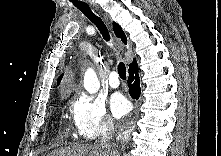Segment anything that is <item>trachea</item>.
<instances>
[{"mask_svg":"<svg viewBox=\"0 0 221 156\" xmlns=\"http://www.w3.org/2000/svg\"><path fill=\"white\" fill-rule=\"evenodd\" d=\"M74 5L75 7H77L86 17H88V19L90 21H92V23H94L98 30L100 31V33L102 34L103 38L106 41L110 40V35L108 32V29L106 27V25L104 24V22L98 17L96 16L90 9V7L84 3V2H79V1H74ZM118 74L120 76L121 79H126V67L125 64L123 62H120L118 65Z\"/></svg>","mask_w":221,"mask_h":156,"instance_id":"1","label":"trachea"}]
</instances>
